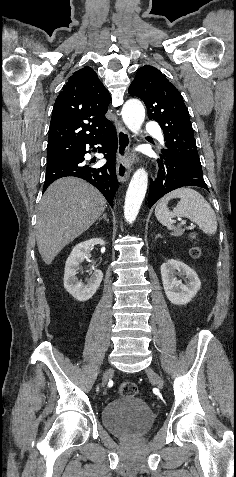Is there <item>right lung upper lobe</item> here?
Masks as SVG:
<instances>
[{"mask_svg": "<svg viewBox=\"0 0 236 477\" xmlns=\"http://www.w3.org/2000/svg\"><path fill=\"white\" fill-rule=\"evenodd\" d=\"M109 102L110 94L92 68L86 66L73 73L53 107L47 165L67 159L111 124L105 117ZM52 158L61 160L50 161Z\"/></svg>", "mask_w": 236, "mask_h": 477, "instance_id": "right-lung-upper-lobe-1", "label": "right lung upper lobe"}]
</instances>
